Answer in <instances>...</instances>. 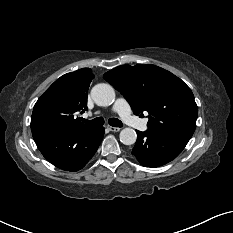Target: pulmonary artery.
I'll use <instances>...</instances> for the list:
<instances>
[{
  "mask_svg": "<svg viewBox=\"0 0 233 233\" xmlns=\"http://www.w3.org/2000/svg\"><path fill=\"white\" fill-rule=\"evenodd\" d=\"M113 111L117 113L127 125L142 131L147 129V121L134 116L131 113L128 102L124 98H118L115 101Z\"/></svg>",
  "mask_w": 233,
  "mask_h": 233,
  "instance_id": "obj_1",
  "label": "pulmonary artery"
}]
</instances>
